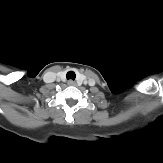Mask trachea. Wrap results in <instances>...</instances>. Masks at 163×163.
I'll return each instance as SVG.
<instances>
[{
    "instance_id": "trachea-1",
    "label": "trachea",
    "mask_w": 163,
    "mask_h": 163,
    "mask_svg": "<svg viewBox=\"0 0 163 163\" xmlns=\"http://www.w3.org/2000/svg\"><path fill=\"white\" fill-rule=\"evenodd\" d=\"M66 78L69 80V79H71V80H75V78H76V74H75V72H73V71H69V72H67V74H66Z\"/></svg>"
}]
</instances>
